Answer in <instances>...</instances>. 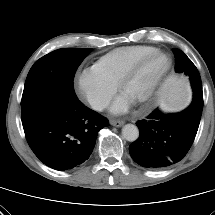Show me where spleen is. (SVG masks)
Instances as JSON below:
<instances>
[{
	"instance_id": "3e777b00",
	"label": "spleen",
	"mask_w": 215,
	"mask_h": 215,
	"mask_svg": "<svg viewBox=\"0 0 215 215\" xmlns=\"http://www.w3.org/2000/svg\"><path fill=\"white\" fill-rule=\"evenodd\" d=\"M163 100L165 106L176 111L187 109L193 101V91L189 81L181 76L170 77L164 85Z\"/></svg>"
}]
</instances>
